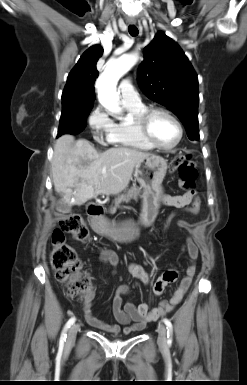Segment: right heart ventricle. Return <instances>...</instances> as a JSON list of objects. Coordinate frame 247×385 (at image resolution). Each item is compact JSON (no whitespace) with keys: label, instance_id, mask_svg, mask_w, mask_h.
Returning a JSON list of instances; mask_svg holds the SVG:
<instances>
[{"label":"right heart ventricle","instance_id":"right-heart-ventricle-1","mask_svg":"<svg viewBox=\"0 0 247 385\" xmlns=\"http://www.w3.org/2000/svg\"><path fill=\"white\" fill-rule=\"evenodd\" d=\"M130 116L129 120L113 122L108 140L116 146L148 151L153 147L142 137L136 124L137 118L147 109L142 103L138 105L124 104Z\"/></svg>","mask_w":247,"mask_h":385}]
</instances>
